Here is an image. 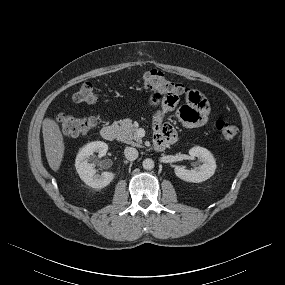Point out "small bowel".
Instances as JSON below:
<instances>
[{"instance_id":"c3829d8e","label":"small bowel","mask_w":285,"mask_h":285,"mask_svg":"<svg viewBox=\"0 0 285 285\" xmlns=\"http://www.w3.org/2000/svg\"><path fill=\"white\" fill-rule=\"evenodd\" d=\"M147 103L153 109H158L154 116V137H163L169 143L176 138V131L172 125L164 121L166 113H176V117L186 128H199L209 120L210 105L208 100L197 91H191L187 96V103L177 92L166 89L151 91L147 96Z\"/></svg>"}]
</instances>
